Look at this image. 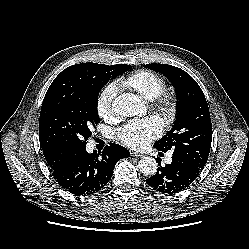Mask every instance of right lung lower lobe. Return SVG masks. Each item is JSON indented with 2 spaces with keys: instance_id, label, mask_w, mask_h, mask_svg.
Returning a JSON list of instances; mask_svg holds the SVG:
<instances>
[{
  "instance_id": "right-lung-lower-lobe-1",
  "label": "right lung lower lobe",
  "mask_w": 249,
  "mask_h": 249,
  "mask_svg": "<svg viewBox=\"0 0 249 249\" xmlns=\"http://www.w3.org/2000/svg\"><path fill=\"white\" fill-rule=\"evenodd\" d=\"M130 154L125 147L110 143L102 151L89 154L86 148L75 153L61 166L52 170L57 183L76 196L95 194L109 182L114 167L122 158Z\"/></svg>"
}]
</instances>
